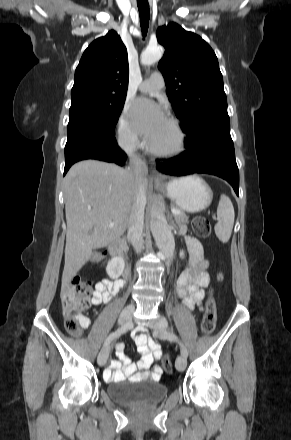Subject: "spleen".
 Returning a JSON list of instances; mask_svg holds the SVG:
<instances>
[{
	"label": "spleen",
	"mask_w": 291,
	"mask_h": 440,
	"mask_svg": "<svg viewBox=\"0 0 291 440\" xmlns=\"http://www.w3.org/2000/svg\"><path fill=\"white\" fill-rule=\"evenodd\" d=\"M218 222L214 227L218 239L227 243L230 239L234 225V208L231 200L225 194H222L217 208Z\"/></svg>",
	"instance_id": "obj_1"
}]
</instances>
